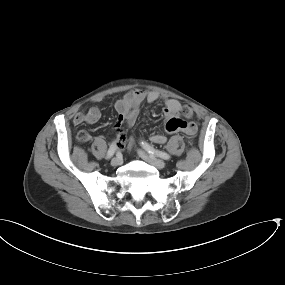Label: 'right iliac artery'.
<instances>
[{"label":"right iliac artery","instance_id":"right-iliac-artery-1","mask_svg":"<svg viewBox=\"0 0 285 285\" xmlns=\"http://www.w3.org/2000/svg\"><path fill=\"white\" fill-rule=\"evenodd\" d=\"M116 149H117L116 143H112L108 152H107L106 158L110 159L114 155V153L116 152Z\"/></svg>","mask_w":285,"mask_h":285}]
</instances>
